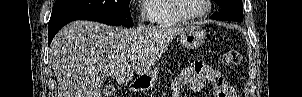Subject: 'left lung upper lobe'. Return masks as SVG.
I'll use <instances>...</instances> for the list:
<instances>
[{
    "label": "left lung upper lobe",
    "instance_id": "obj_1",
    "mask_svg": "<svg viewBox=\"0 0 302 97\" xmlns=\"http://www.w3.org/2000/svg\"><path fill=\"white\" fill-rule=\"evenodd\" d=\"M221 8L212 17L216 20L243 21L242 0H215Z\"/></svg>",
    "mask_w": 302,
    "mask_h": 97
}]
</instances>
